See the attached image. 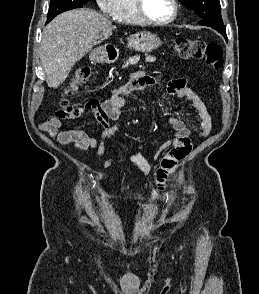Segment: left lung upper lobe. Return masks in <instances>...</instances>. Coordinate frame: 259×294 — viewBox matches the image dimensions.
<instances>
[{"label": "left lung upper lobe", "mask_w": 259, "mask_h": 294, "mask_svg": "<svg viewBox=\"0 0 259 294\" xmlns=\"http://www.w3.org/2000/svg\"><path fill=\"white\" fill-rule=\"evenodd\" d=\"M189 10L195 11L204 20L199 23L214 28L218 32L225 30L221 17L219 0H179Z\"/></svg>", "instance_id": "5c2ea615"}]
</instances>
